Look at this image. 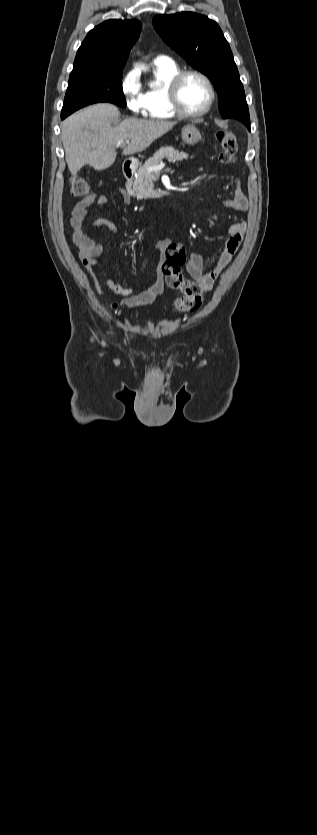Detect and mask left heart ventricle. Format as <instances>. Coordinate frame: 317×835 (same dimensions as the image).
Instances as JSON below:
<instances>
[{"instance_id":"b2bd125f","label":"left heart ventricle","mask_w":317,"mask_h":835,"mask_svg":"<svg viewBox=\"0 0 317 835\" xmlns=\"http://www.w3.org/2000/svg\"><path fill=\"white\" fill-rule=\"evenodd\" d=\"M209 96L206 83L198 76L191 75L183 81L180 90V100L186 111L191 113L201 111L205 108Z\"/></svg>"}]
</instances>
